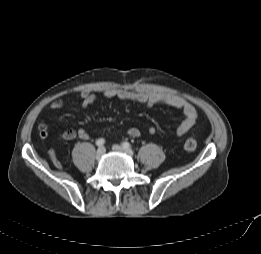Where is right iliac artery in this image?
Segmentation results:
<instances>
[{
    "label": "right iliac artery",
    "mask_w": 261,
    "mask_h": 254,
    "mask_svg": "<svg viewBox=\"0 0 261 254\" xmlns=\"http://www.w3.org/2000/svg\"><path fill=\"white\" fill-rule=\"evenodd\" d=\"M104 143H105V140L103 139V138H100V139H98L97 141H96V145L97 146H103L104 145Z\"/></svg>",
    "instance_id": "obj_1"
}]
</instances>
